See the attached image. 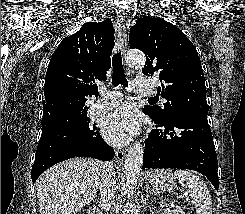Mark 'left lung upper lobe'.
I'll return each mask as SVG.
<instances>
[{"mask_svg":"<svg viewBox=\"0 0 245 214\" xmlns=\"http://www.w3.org/2000/svg\"><path fill=\"white\" fill-rule=\"evenodd\" d=\"M131 48L146 55L142 72L159 75L163 107L145 106L146 113L164 123L192 112H208L205 78L196 48L175 25L154 17L138 19L129 34Z\"/></svg>","mask_w":245,"mask_h":214,"instance_id":"1","label":"left lung upper lobe"}]
</instances>
